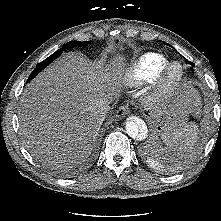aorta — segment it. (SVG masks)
I'll return each mask as SVG.
<instances>
[{
    "label": "aorta",
    "instance_id": "obj_1",
    "mask_svg": "<svg viewBox=\"0 0 221 221\" xmlns=\"http://www.w3.org/2000/svg\"><path fill=\"white\" fill-rule=\"evenodd\" d=\"M125 128L127 134L133 139L143 140L147 137L148 129L142 121H127Z\"/></svg>",
    "mask_w": 221,
    "mask_h": 221
}]
</instances>
